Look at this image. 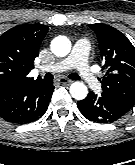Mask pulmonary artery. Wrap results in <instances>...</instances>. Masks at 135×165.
Listing matches in <instances>:
<instances>
[{
  "label": "pulmonary artery",
  "mask_w": 135,
  "mask_h": 165,
  "mask_svg": "<svg viewBox=\"0 0 135 165\" xmlns=\"http://www.w3.org/2000/svg\"><path fill=\"white\" fill-rule=\"evenodd\" d=\"M89 49V41L86 38H80L74 44L69 56L52 65L43 67L42 71L63 72L74 68L91 89H99L100 83L88 62Z\"/></svg>",
  "instance_id": "e3ab8cb5"
}]
</instances>
